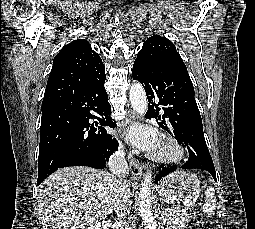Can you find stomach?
<instances>
[{
	"mask_svg": "<svg viewBox=\"0 0 255 229\" xmlns=\"http://www.w3.org/2000/svg\"><path fill=\"white\" fill-rule=\"evenodd\" d=\"M157 192L174 209L183 211L195 205L200 194V182L190 171H175L159 183Z\"/></svg>",
	"mask_w": 255,
	"mask_h": 229,
	"instance_id": "stomach-1",
	"label": "stomach"
}]
</instances>
